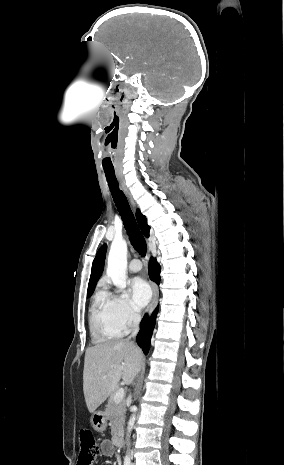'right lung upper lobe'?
<instances>
[{"label":"right lung upper lobe","instance_id":"cb5924a9","mask_svg":"<svg viewBox=\"0 0 284 465\" xmlns=\"http://www.w3.org/2000/svg\"><path fill=\"white\" fill-rule=\"evenodd\" d=\"M136 217H137L138 224L143 234L146 237H148L150 227L147 225L146 217L142 215L139 210H137ZM106 249H107V246L104 244L97 252L96 257L93 261L91 276H90V280L88 284L87 295L93 293L95 285L102 274L104 262H105Z\"/></svg>","mask_w":284,"mask_h":465}]
</instances>
